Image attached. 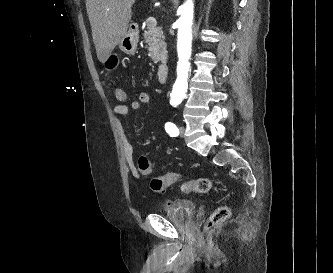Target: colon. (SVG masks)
I'll return each mask as SVG.
<instances>
[{"label":"colon","instance_id":"5ec220e1","mask_svg":"<svg viewBox=\"0 0 333 273\" xmlns=\"http://www.w3.org/2000/svg\"><path fill=\"white\" fill-rule=\"evenodd\" d=\"M113 95L118 102H124L127 98L125 91L120 87L114 89ZM137 168L143 175L149 176L152 174L150 162L145 156L138 158ZM180 181H182V175L180 173L170 172L161 177H154L151 182V187L156 192H162L169 186ZM211 186V181L208 178L199 177L182 181L180 188L183 193H206L210 190ZM229 214L230 211L225 206L216 209L207 221V230L214 228L217 224L227 219Z\"/></svg>","mask_w":333,"mask_h":273}]
</instances>
